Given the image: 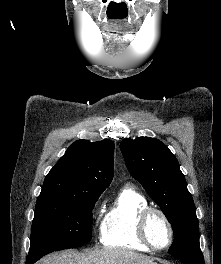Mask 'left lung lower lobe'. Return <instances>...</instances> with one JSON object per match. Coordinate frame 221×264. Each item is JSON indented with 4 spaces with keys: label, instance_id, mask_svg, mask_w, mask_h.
I'll use <instances>...</instances> for the list:
<instances>
[{
    "label": "left lung lower lobe",
    "instance_id": "0a47b994",
    "mask_svg": "<svg viewBox=\"0 0 221 264\" xmlns=\"http://www.w3.org/2000/svg\"><path fill=\"white\" fill-rule=\"evenodd\" d=\"M172 256L177 257L186 264H204V258L201 253L177 254Z\"/></svg>",
    "mask_w": 221,
    "mask_h": 264
}]
</instances>
